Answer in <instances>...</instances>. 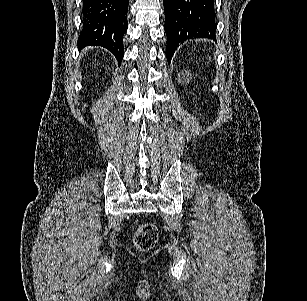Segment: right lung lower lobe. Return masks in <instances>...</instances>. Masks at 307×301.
I'll list each match as a JSON object with an SVG mask.
<instances>
[{"label": "right lung lower lobe", "mask_w": 307, "mask_h": 301, "mask_svg": "<svg viewBox=\"0 0 307 301\" xmlns=\"http://www.w3.org/2000/svg\"><path fill=\"white\" fill-rule=\"evenodd\" d=\"M129 0H83V29L78 48L101 46L112 52L120 63L123 59V35L128 28Z\"/></svg>", "instance_id": "98d812e1"}]
</instances>
